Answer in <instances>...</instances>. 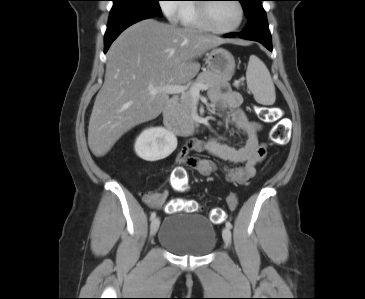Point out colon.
<instances>
[{
    "label": "colon",
    "instance_id": "1",
    "mask_svg": "<svg viewBox=\"0 0 365 299\" xmlns=\"http://www.w3.org/2000/svg\"><path fill=\"white\" fill-rule=\"evenodd\" d=\"M259 116L263 121L276 123L271 130V139L278 144H284L288 140V129L281 123L282 112L277 107L261 106ZM173 187L179 191L184 192L188 189V180L183 172L175 173L172 179ZM228 206L230 209H235L237 206V196L230 195L228 199ZM200 209L198 202L194 200L174 199L166 205V212L175 213L179 211L196 212ZM210 219L215 224L222 223L226 218V213L222 208H212L209 212Z\"/></svg>",
    "mask_w": 365,
    "mask_h": 299
}]
</instances>
